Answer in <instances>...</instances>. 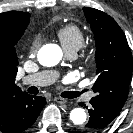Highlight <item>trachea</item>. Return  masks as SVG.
Masks as SVG:
<instances>
[{"instance_id":"3493384b","label":"trachea","mask_w":133,"mask_h":133,"mask_svg":"<svg viewBox=\"0 0 133 133\" xmlns=\"http://www.w3.org/2000/svg\"><path fill=\"white\" fill-rule=\"evenodd\" d=\"M81 94V92H64L62 93V97L65 98H76Z\"/></svg>"}]
</instances>
